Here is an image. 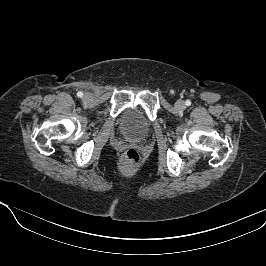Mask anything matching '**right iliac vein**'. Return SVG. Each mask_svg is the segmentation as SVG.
Wrapping results in <instances>:
<instances>
[{
	"label": "right iliac vein",
	"instance_id": "right-iliac-vein-1",
	"mask_svg": "<svg viewBox=\"0 0 266 266\" xmlns=\"http://www.w3.org/2000/svg\"><path fill=\"white\" fill-rule=\"evenodd\" d=\"M84 98H85L86 100H90V99H91V95H90V94H86V95L84 96Z\"/></svg>",
	"mask_w": 266,
	"mask_h": 266
}]
</instances>
